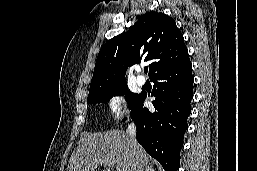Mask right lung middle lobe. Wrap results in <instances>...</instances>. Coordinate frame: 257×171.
Segmentation results:
<instances>
[{
  "label": "right lung middle lobe",
  "mask_w": 257,
  "mask_h": 171,
  "mask_svg": "<svg viewBox=\"0 0 257 171\" xmlns=\"http://www.w3.org/2000/svg\"><path fill=\"white\" fill-rule=\"evenodd\" d=\"M129 104L130 109L133 107L137 99L139 98L140 94H134L128 90V86L126 83L117 85L110 88L100 89L89 92L87 102L88 104H96V103H106L108 102L113 96H123Z\"/></svg>",
  "instance_id": "dd1d6c3e"
}]
</instances>
